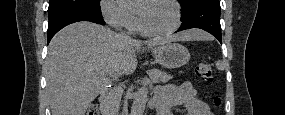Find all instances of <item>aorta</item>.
I'll return each instance as SVG.
<instances>
[{"instance_id":"aorta-1","label":"aorta","mask_w":285,"mask_h":115,"mask_svg":"<svg viewBox=\"0 0 285 115\" xmlns=\"http://www.w3.org/2000/svg\"><path fill=\"white\" fill-rule=\"evenodd\" d=\"M118 3H123L124 0H117ZM148 97L146 90H139L134 98L131 108V115H143Z\"/></svg>"}]
</instances>
